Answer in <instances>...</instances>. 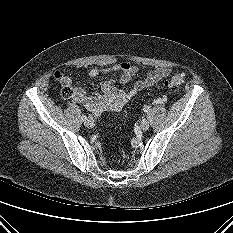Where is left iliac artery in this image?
I'll return each mask as SVG.
<instances>
[{
	"label": "left iliac artery",
	"mask_w": 233,
	"mask_h": 233,
	"mask_svg": "<svg viewBox=\"0 0 233 233\" xmlns=\"http://www.w3.org/2000/svg\"><path fill=\"white\" fill-rule=\"evenodd\" d=\"M143 110H144V112H148L149 107L145 106V107L143 108Z\"/></svg>",
	"instance_id": "obj_1"
}]
</instances>
